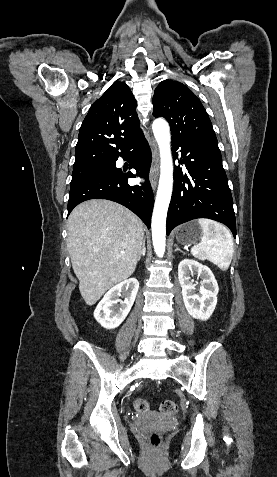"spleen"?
Listing matches in <instances>:
<instances>
[{
  "mask_svg": "<svg viewBox=\"0 0 277 477\" xmlns=\"http://www.w3.org/2000/svg\"><path fill=\"white\" fill-rule=\"evenodd\" d=\"M202 229L201 242L191 248L199 260H209L222 271H227L233 257V237L222 224L210 219H199Z\"/></svg>",
  "mask_w": 277,
  "mask_h": 477,
  "instance_id": "obj_1",
  "label": "spleen"
}]
</instances>
